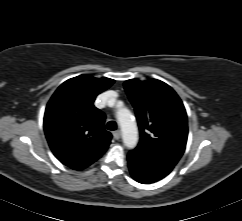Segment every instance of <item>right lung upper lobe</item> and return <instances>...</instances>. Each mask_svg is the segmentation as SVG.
I'll list each match as a JSON object with an SVG mask.
<instances>
[{
    "label": "right lung upper lobe",
    "instance_id": "1",
    "mask_svg": "<svg viewBox=\"0 0 242 221\" xmlns=\"http://www.w3.org/2000/svg\"><path fill=\"white\" fill-rule=\"evenodd\" d=\"M114 80L80 75L65 81L47 104L44 131L54 155L63 164L82 170L107 150L111 133L105 115L93 102Z\"/></svg>",
    "mask_w": 242,
    "mask_h": 221
}]
</instances>
